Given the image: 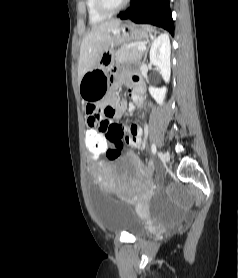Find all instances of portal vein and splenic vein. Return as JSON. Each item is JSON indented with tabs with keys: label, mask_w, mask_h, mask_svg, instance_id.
Masks as SVG:
<instances>
[{
	"label": "portal vein and splenic vein",
	"mask_w": 238,
	"mask_h": 278,
	"mask_svg": "<svg viewBox=\"0 0 238 278\" xmlns=\"http://www.w3.org/2000/svg\"><path fill=\"white\" fill-rule=\"evenodd\" d=\"M137 49L142 51V50H145L146 47H145L144 44H138V45H137Z\"/></svg>",
	"instance_id": "obj_1"
}]
</instances>
